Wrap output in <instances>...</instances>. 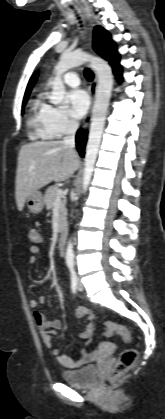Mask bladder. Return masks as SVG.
<instances>
[{
	"label": "bladder",
	"mask_w": 165,
	"mask_h": 419,
	"mask_svg": "<svg viewBox=\"0 0 165 419\" xmlns=\"http://www.w3.org/2000/svg\"><path fill=\"white\" fill-rule=\"evenodd\" d=\"M99 372L96 365H89L77 370L62 371L61 377L64 382L72 387L86 388L98 380Z\"/></svg>",
	"instance_id": "1"
}]
</instances>
